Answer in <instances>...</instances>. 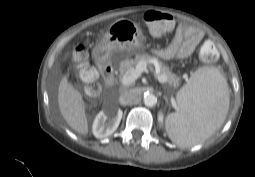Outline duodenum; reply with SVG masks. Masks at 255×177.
I'll list each match as a JSON object with an SVG mask.
<instances>
[{
  "label": "duodenum",
  "mask_w": 255,
  "mask_h": 177,
  "mask_svg": "<svg viewBox=\"0 0 255 177\" xmlns=\"http://www.w3.org/2000/svg\"><path fill=\"white\" fill-rule=\"evenodd\" d=\"M98 67L102 73L103 79L108 87H112L115 82L114 69L110 62H108L105 57L97 58Z\"/></svg>",
  "instance_id": "duodenum-1"
}]
</instances>
